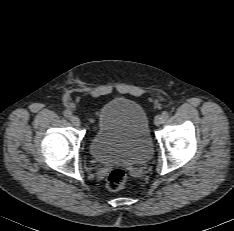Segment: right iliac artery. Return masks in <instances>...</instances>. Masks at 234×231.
Instances as JSON below:
<instances>
[{"instance_id": "1", "label": "right iliac artery", "mask_w": 234, "mask_h": 231, "mask_svg": "<svg viewBox=\"0 0 234 231\" xmlns=\"http://www.w3.org/2000/svg\"><path fill=\"white\" fill-rule=\"evenodd\" d=\"M63 115H64L66 118H70V117H71V112L68 111V110H65V111L63 112Z\"/></svg>"}]
</instances>
